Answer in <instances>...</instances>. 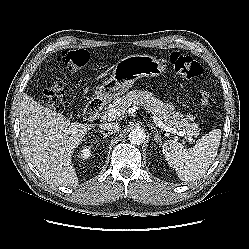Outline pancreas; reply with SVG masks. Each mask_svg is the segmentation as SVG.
<instances>
[{
  "label": "pancreas",
  "instance_id": "1",
  "mask_svg": "<svg viewBox=\"0 0 249 249\" xmlns=\"http://www.w3.org/2000/svg\"><path fill=\"white\" fill-rule=\"evenodd\" d=\"M131 105H141L152 114L156 115L166 125L173 126L181 130L187 138L198 133V126L194 123L191 115H183L175 112L171 104H165L149 91L133 90L126 95L117 97L107 110L116 108L120 112H124Z\"/></svg>",
  "mask_w": 249,
  "mask_h": 249
}]
</instances>
